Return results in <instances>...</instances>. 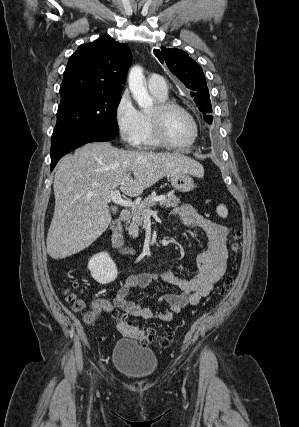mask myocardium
<instances>
[{
    "mask_svg": "<svg viewBox=\"0 0 299 427\" xmlns=\"http://www.w3.org/2000/svg\"><path fill=\"white\" fill-rule=\"evenodd\" d=\"M171 110H179L183 112L192 121L193 128H194L193 137L191 141H189L186 144H177L172 142L167 137L164 131V117ZM149 119L151 123L152 132L156 141L164 147L172 148V149H185L194 145L199 137V124L195 116L192 114L190 110H188L186 107H184L179 103H176L173 101L158 102L154 107V111L149 113Z\"/></svg>",
    "mask_w": 299,
    "mask_h": 427,
    "instance_id": "1",
    "label": "myocardium"
}]
</instances>
